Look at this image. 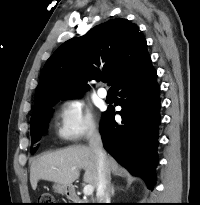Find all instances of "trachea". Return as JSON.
<instances>
[{
	"label": "trachea",
	"instance_id": "1",
	"mask_svg": "<svg viewBox=\"0 0 200 205\" xmlns=\"http://www.w3.org/2000/svg\"><path fill=\"white\" fill-rule=\"evenodd\" d=\"M108 80H109V78H108V76H107V75H106V76H104V77H103V79H102V81H103L104 83L108 82Z\"/></svg>",
	"mask_w": 200,
	"mask_h": 205
}]
</instances>
